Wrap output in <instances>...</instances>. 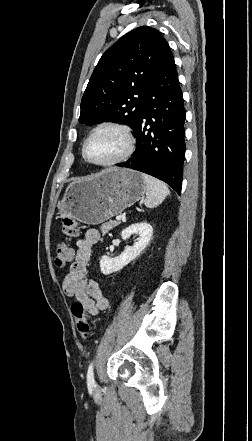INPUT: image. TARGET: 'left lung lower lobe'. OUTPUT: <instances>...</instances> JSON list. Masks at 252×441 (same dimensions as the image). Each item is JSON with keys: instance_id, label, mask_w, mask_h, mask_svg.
<instances>
[{"instance_id": "obj_1", "label": "left lung lower lobe", "mask_w": 252, "mask_h": 441, "mask_svg": "<svg viewBox=\"0 0 252 441\" xmlns=\"http://www.w3.org/2000/svg\"><path fill=\"white\" fill-rule=\"evenodd\" d=\"M185 117L174 57L165 42L134 134L136 151L131 159L118 166L152 175L168 183L180 194L185 153ZM147 126L150 128L147 129Z\"/></svg>"}]
</instances>
